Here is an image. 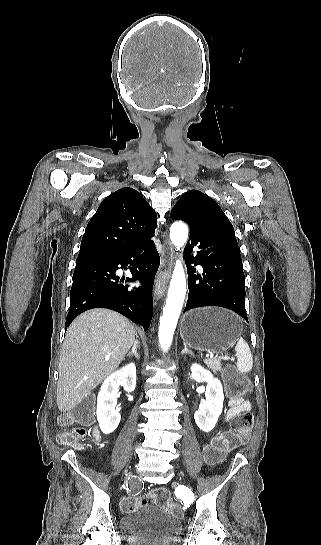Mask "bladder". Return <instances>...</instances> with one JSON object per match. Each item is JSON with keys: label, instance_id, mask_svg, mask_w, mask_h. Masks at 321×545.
Instances as JSON below:
<instances>
[{"label": "bladder", "instance_id": "bladder-1", "mask_svg": "<svg viewBox=\"0 0 321 545\" xmlns=\"http://www.w3.org/2000/svg\"><path fill=\"white\" fill-rule=\"evenodd\" d=\"M120 525L123 538L130 545H168L181 532L179 519L156 505L127 512Z\"/></svg>", "mask_w": 321, "mask_h": 545}]
</instances>
